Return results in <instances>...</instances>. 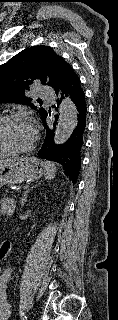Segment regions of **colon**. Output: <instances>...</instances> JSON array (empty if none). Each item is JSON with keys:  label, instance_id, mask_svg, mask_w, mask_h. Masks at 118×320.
<instances>
[{"label": "colon", "instance_id": "5ec220e1", "mask_svg": "<svg viewBox=\"0 0 118 320\" xmlns=\"http://www.w3.org/2000/svg\"><path fill=\"white\" fill-rule=\"evenodd\" d=\"M3 247H4V251L0 250V259H3L6 256V254H7L6 249L8 247V243L4 242L3 243Z\"/></svg>", "mask_w": 118, "mask_h": 320}]
</instances>
